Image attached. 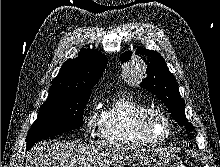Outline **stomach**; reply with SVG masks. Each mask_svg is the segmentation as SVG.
Here are the masks:
<instances>
[{
	"label": "stomach",
	"instance_id": "0dacf381",
	"mask_svg": "<svg viewBox=\"0 0 220 167\" xmlns=\"http://www.w3.org/2000/svg\"><path fill=\"white\" fill-rule=\"evenodd\" d=\"M114 167H184V165L177 156L159 148L131 146Z\"/></svg>",
	"mask_w": 220,
	"mask_h": 167
}]
</instances>
